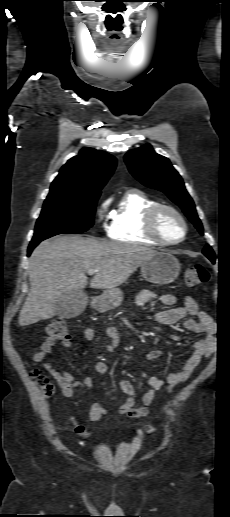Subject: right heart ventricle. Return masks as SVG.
Wrapping results in <instances>:
<instances>
[{
    "label": "right heart ventricle",
    "mask_w": 230,
    "mask_h": 517,
    "mask_svg": "<svg viewBox=\"0 0 230 517\" xmlns=\"http://www.w3.org/2000/svg\"><path fill=\"white\" fill-rule=\"evenodd\" d=\"M159 202L146 192L129 189L118 201L111 215L108 236L116 241L139 244H159L146 231L148 212Z\"/></svg>",
    "instance_id": "obj_1"
}]
</instances>
